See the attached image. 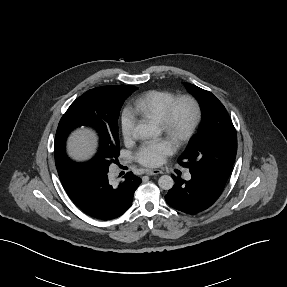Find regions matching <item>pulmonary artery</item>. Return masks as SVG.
<instances>
[{
    "label": "pulmonary artery",
    "mask_w": 287,
    "mask_h": 287,
    "mask_svg": "<svg viewBox=\"0 0 287 287\" xmlns=\"http://www.w3.org/2000/svg\"><path fill=\"white\" fill-rule=\"evenodd\" d=\"M184 177H185L186 180L191 179V174H190V172H186L185 175H184Z\"/></svg>",
    "instance_id": "1"
}]
</instances>
